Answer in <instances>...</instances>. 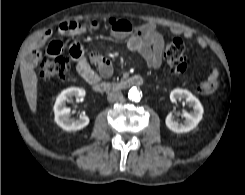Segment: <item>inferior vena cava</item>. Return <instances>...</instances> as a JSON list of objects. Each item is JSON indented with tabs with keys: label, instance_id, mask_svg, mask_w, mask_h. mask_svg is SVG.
I'll list each match as a JSON object with an SVG mask.
<instances>
[{
	"label": "inferior vena cava",
	"instance_id": "602c4592",
	"mask_svg": "<svg viewBox=\"0 0 245 195\" xmlns=\"http://www.w3.org/2000/svg\"><path fill=\"white\" fill-rule=\"evenodd\" d=\"M123 99V94L120 91H111L107 95V100L109 102H116Z\"/></svg>",
	"mask_w": 245,
	"mask_h": 195
}]
</instances>
